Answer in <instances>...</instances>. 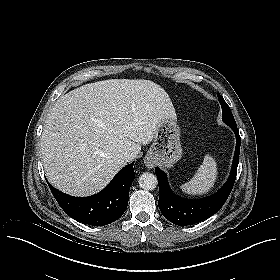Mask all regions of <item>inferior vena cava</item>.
Returning <instances> with one entry per match:
<instances>
[{
  "label": "inferior vena cava",
  "mask_w": 280,
  "mask_h": 280,
  "mask_svg": "<svg viewBox=\"0 0 280 280\" xmlns=\"http://www.w3.org/2000/svg\"><path fill=\"white\" fill-rule=\"evenodd\" d=\"M134 158H135V156H134L132 153H130V152H125V153L123 154V159H124L126 162H130V161H132Z\"/></svg>",
  "instance_id": "602c4592"
}]
</instances>
